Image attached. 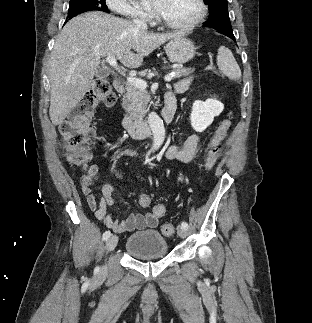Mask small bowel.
Masks as SVG:
<instances>
[{"label": "small bowel", "instance_id": "obj_1", "mask_svg": "<svg viewBox=\"0 0 312 323\" xmlns=\"http://www.w3.org/2000/svg\"><path fill=\"white\" fill-rule=\"evenodd\" d=\"M191 83L190 79H184L174 86V92L181 94L185 92ZM198 145V136L190 135L182 147L176 145H168L164 150V157L167 160L179 161L182 163H190L196 154ZM84 174L80 178L81 192L87 198L89 208L94 212L95 217L104 222L111 230L116 232H133L136 230H144L146 228H156L159 220L163 216H156L155 210L149 211L146 214L133 213L125 220H115L107 212V208L114 204L113 194L115 186L106 184L102 187L101 196L98 197L92 190V184L98 174V166L91 162H86L82 165ZM166 211V210H165Z\"/></svg>", "mask_w": 312, "mask_h": 323}]
</instances>
